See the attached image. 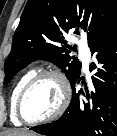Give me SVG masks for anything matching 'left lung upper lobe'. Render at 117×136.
<instances>
[{
  "mask_svg": "<svg viewBox=\"0 0 117 136\" xmlns=\"http://www.w3.org/2000/svg\"><path fill=\"white\" fill-rule=\"evenodd\" d=\"M117 20V0H28L5 64L4 85L37 59L53 62L72 84L81 63L69 53L68 33L83 35L91 47Z\"/></svg>",
  "mask_w": 117,
  "mask_h": 136,
  "instance_id": "1",
  "label": "left lung upper lobe"
}]
</instances>
